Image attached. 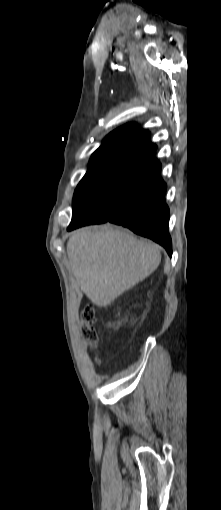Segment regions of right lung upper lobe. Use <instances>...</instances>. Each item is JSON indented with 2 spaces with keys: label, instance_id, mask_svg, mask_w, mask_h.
<instances>
[{
  "label": "right lung upper lobe",
  "instance_id": "cb5924a9",
  "mask_svg": "<svg viewBox=\"0 0 221 510\" xmlns=\"http://www.w3.org/2000/svg\"><path fill=\"white\" fill-rule=\"evenodd\" d=\"M149 135L148 131L138 129L135 123L126 124L107 135L102 145L93 153L92 157L126 151L154 154L156 145L150 142Z\"/></svg>",
  "mask_w": 221,
  "mask_h": 510
}]
</instances>
